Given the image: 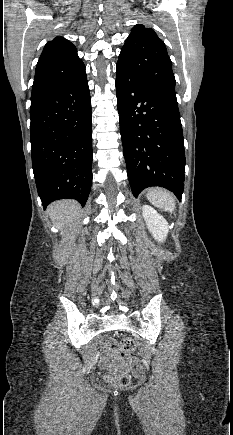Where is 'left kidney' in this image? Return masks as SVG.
Listing matches in <instances>:
<instances>
[{
  "instance_id": "5707ae66",
  "label": "left kidney",
  "mask_w": 233,
  "mask_h": 435,
  "mask_svg": "<svg viewBox=\"0 0 233 435\" xmlns=\"http://www.w3.org/2000/svg\"><path fill=\"white\" fill-rule=\"evenodd\" d=\"M143 216L149 231L158 242H164L168 234V222L154 208L144 205Z\"/></svg>"
}]
</instances>
